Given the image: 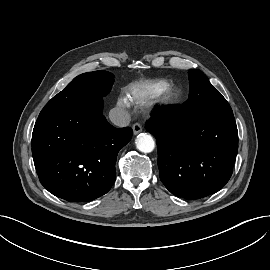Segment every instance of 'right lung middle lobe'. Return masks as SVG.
I'll use <instances>...</instances> for the list:
<instances>
[{"label":"right lung middle lobe","instance_id":"obj_1","mask_svg":"<svg viewBox=\"0 0 270 270\" xmlns=\"http://www.w3.org/2000/svg\"><path fill=\"white\" fill-rule=\"evenodd\" d=\"M113 82L114 75L107 71L81 74L55 95L41 112L80 107L102 100L110 92Z\"/></svg>","mask_w":270,"mask_h":270}]
</instances>
